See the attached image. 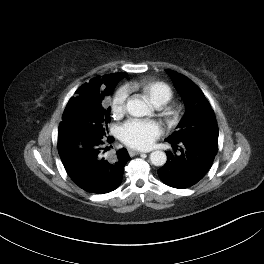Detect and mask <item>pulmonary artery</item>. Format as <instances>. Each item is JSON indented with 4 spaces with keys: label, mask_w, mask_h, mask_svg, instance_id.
Masks as SVG:
<instances>
[{
    "label": "pulmonary artery",
    "mask_w": 264,
    "mask_h": 264,
    "mask_svg": "<svg viewBox=\"0 0 264 264\" xmlns=\"http://www.w3.org/2000/svg\"><path fill=\"white\" fill-rule=\"evenodd\" d=\"M157 108H161L162 106L161 105H156Z\"/></svg>",
    "instance_id": "obj_1"
}]
</instances>
